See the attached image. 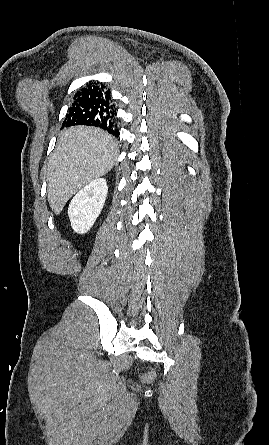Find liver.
I'll list each match as a JSON object with an SVG mask.
<instances>
[{"mask_svg":"<svg viewBox=\"0 0 269 445\" xmlns=\"http://www.w3.org/2000/svg\"><path fill=\"white\" fill-rule=\"evenodd\" d=\"M117 156V143L99 128L73 126L63 130L47 168L48 202L55 214H60L78 190L108 173Z\"/></svg>","mask_w":269,"mask_h":445,"instance_id":"obj_1","label":"liver"}]
</instances>
